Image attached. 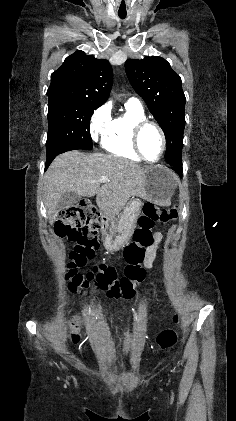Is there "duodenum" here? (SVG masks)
<instances>
[{
	"mask_svg": "<svg viewBox=\"0 0 236 421\" xmlns=\"http://www.w3.org/2000/svg\"><path fill=\"white\" fill-rule=\"evenodd\" d=\"M82 207H83V209H84L85 211H88V212H93V207H92V205H91L90 203H88V202L83 203V204H82Z\"/></svg>",
	"mask_w": 236,
	"mask_h": 421,
	"instance_id": "1",
	"label": "duodenum"
}]
</instances>
